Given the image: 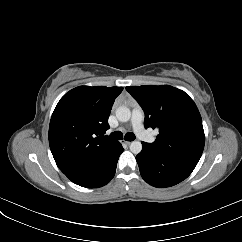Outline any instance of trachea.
Returning a JSON list of instances; mask_svg holds the SVG:
<instances>
[{
	"instance_id": "3493384b",
	"label": "trachea",
	"mask_w": 242,
	"mask_h": 242,
	"mask_svg": "<svg viewBox=\"0 0 242 242\" xmlns=\"http://www.w3.org/2000/svg\"><path fill=\"white\" fill-rule=\"evenodd\" d=\"M110 137L114 140H121L123 139V134L120 131L113 132ZM126 141H133L135 140V135L133 133H127L124 137Z\"/></svg>"
}]
</instances>
